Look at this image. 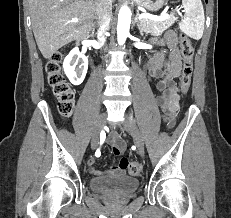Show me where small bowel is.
Listing matches in <instances>:
<instances>
[{
  "mask_svg": "<svg viewBox=\"0 0 231 218\" xmlns=\"http://www.w3.org/2000/svg\"><path fill=\"white\" fill-rule=\"evenodd\" d=\"M157 43L159 45H165L169 48V62L164 66L162 51L156 52L149 61L147 67V77L150 82H152L153 79H158V82L156 83V89L158 90L159 94L156 97V102L163 111V118L167 126L172 128L175 123V114L179 109L180 102V95L175 79L181 75V55L177 48V38L174 32H166L163 38L158 40ZM108 142L113 147H118L121 150L124 149V144L116 133H111L109 135ZM88 164L91 172L94 175L103 174V172L96 169L95 158L90 159ZM124 172L125 169L120 166L119 161L118 163H114L111 169L106 172V174L121 175Z\"/></svg>",
  "mask_w": 231,
  "mask_h": 218,
  "instance_id": "c3829d8e",
  "label": "small bowel"
}]
</instances>
